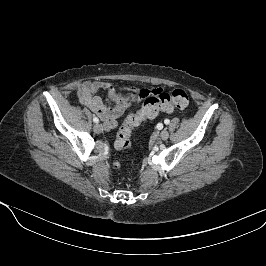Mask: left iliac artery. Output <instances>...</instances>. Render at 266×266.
Listing matches in <instances>:
<instances>
[{"label":"left iliac artery","instance_id":"44dca946","mask_svg":"<svg viewBox=\"0 0 266 266\" xmlns=\"http://www.w3.org/2000/svg\"><path fill=\"white\" fill-rule=\"evenodd\" d=\"M164 123H165L166 125H168V124L170 123V120H169V119H165V120H164Z\"/></svg>","mask_w":266,"mask_h":266}]
</instances>
